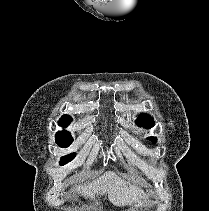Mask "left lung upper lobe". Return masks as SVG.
Here are the masks:
<instances>
[{
	"instance_id": "5c2ea615",
	"label": "left lung upper lobe",
	"mask_w": 209,
	"mask_h": 211,
	"mask_svg": "<svg viewBox=\"0 0 209 211\" xmlns=\"http://www.w3.org/2000/svg\"><path fill=\"white\" fill-rule=\"evenodd\" d=\"M153 120L151 118V116L147 115V114H142L140 115L137 120H136V124L140 127H145L146 129H149L153 126ZM148 139L150 141H152L153 143H156L157 139L155 137H148Z\"/></svg>"
}]
</instances>
